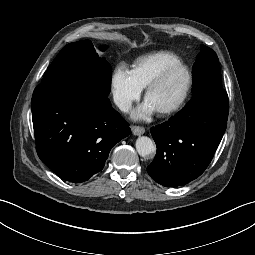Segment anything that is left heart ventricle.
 <instances>
[{
    "instance_id": "obj_1",
    "label": "left heart ventricle",
    "mask_w": 255,
    "mask_h": 255,
    "mask_svg": "<svg viewBox=\"0 0 255 255\" xmlns=\"http://www.w3.org/2000/svg\"><path fill=\"white\" fill-rule=\"evenodd\" d=\"M187 85V74L183 69L172 71L164 81L152 90L146 98L155 110L167 107L176 102L184 93Z\"/></svg>"
}]
</instances>
